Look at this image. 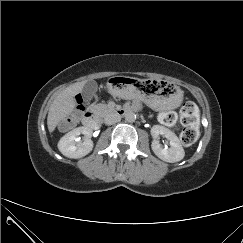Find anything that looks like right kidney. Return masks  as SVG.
I'll list each match as a JSON object with an SVG mask.
<instances>
[{"mask_svg": "<svg viewBox=\"0 0 243 243\" xmlns=\"http://www.w3.org/2000/svg\"><path fill=\"white\" fill-rule=\"evenodd\" d=\"M92 130L87 127H78L65 134L58 142L59 151L68 158L78 159L86 156L93 149L91 140ZM83 134V142L79 136Z\"/></svg>", "mask_w": 243, "mask_h": 243, "instance_id": "right-kidney-1", "label": "right kidney"}]
</instances>
